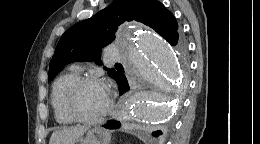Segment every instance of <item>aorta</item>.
<instances>
[{
    "label": "aorta",
    "instance_id": "762f6f07",
    "mask_svg": "<svg viewBox=\"0 0 260 144\" xmlns=\"http://www.w3.org/2000/svg\"><path fill=\"white\" fill-rule=\"evenodd\" d=\"M129 69L141 80L163 90L183 87V67L175 50L151 29L139 27L122 39ZM176 101L156 93H136L126 105L125 122L160 123L173 113Z\"/></svg>",
    "mask_w": 260,
    "mask_h": 144
}]
</instances>
